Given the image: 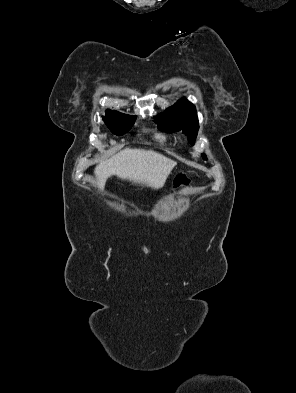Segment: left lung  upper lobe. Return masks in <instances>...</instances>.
I'll return each instance as SVG.
<instances>
[{
	"label": "left lung upper lobe",
	"mask_w": 296,
	"mask_h": 393,
	"mask_svg": "<svg viewBox=\"0 0 296 393\" xmlns=\"http://www.w3.org/2000/svg\"><path fill=\"white\" fill-rule=\"evenodd\" d=\"M160 129L173 132L182 130L193 145L199 129L196 108L187 100H181L155 117ZM205 159L206 156L203 154Z\"/></svg>",
	"instance_id": "1"
}]
</instances>
